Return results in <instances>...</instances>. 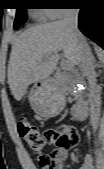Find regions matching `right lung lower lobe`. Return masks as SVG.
Returning <instances> with one entry per match:
<instances>
[{"label": "right lung lower lobe", "instance_id": "98d812e1", "mask_svg": "<svg viewBox=\"0 0 104 169\" xmlns=\"http://www.w3.org/2000/svg\"><path fill=\"white\" fill-rule=\"evenodd\" d=\"M79 29L84 35L104 48V7L102 0H78Z\"/></svg>", "mask_w": 104, "mask_h": 169}]
</instances>
